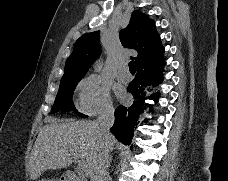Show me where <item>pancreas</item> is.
I'll list each match as a JSON object with an SVG mask.
<instances>
[{
	"mask_svg": "<svg viewBox=\"0 0 228 181\" xmlns=\"http://www.w3.org/2000/svg\"><path fill=\"white\" fill-rule=\"evenodd\" d=\"M81 181H85V177H81Z\"/></svg>",
	"mask_w": 228,
	"mask_h": 181,
	"instance_id": "1",
	"label": "pancreas"
}]
</instances>
